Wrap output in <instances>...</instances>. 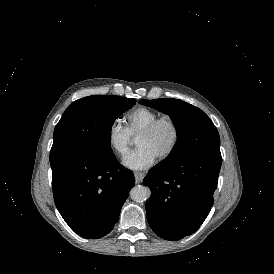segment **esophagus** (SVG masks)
I'll return each instance as SVG.
<instances>
[{"label": "esophagus", "mask_w": 274, "mask_h": 274, "mask_svg": "<svg viewBox=\"0 0 274 274\" xmlns=\"http://www.w3.org/2000/svg\"><path fill=\"white\" fill-rule=\"evenodd\" d=\"M135 180H136V183H141L145 174L142 173V172H135Z\"/></svg>", "instance_id": "34e87169"}]
</instances>
